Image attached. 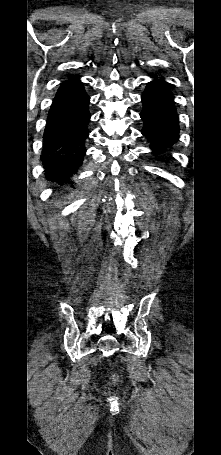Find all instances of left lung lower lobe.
I'll return each mask as SVG.
<instances>
[{
  "label": "left lung lower lobe",
  "instance_id": "obj_1",
  "mask_svg": "<svg viewBox=\"0 0 221 455\" xmlns=\"http://www.w3.org/2000/svg\"><path fill=\"white\" fill-rule=\"evenodd\" d=\"M148 83L141 96L144 121L142 134L146 136L154 153H160L172 146L178 139L179 124L173 95L168 83L162 78Z\"/></svg>",
  "mask_w": 221,
  "mask_h": 455
}]
</instances>
